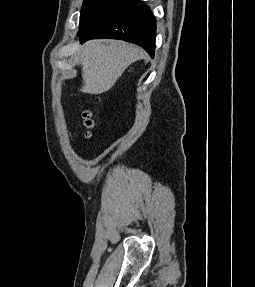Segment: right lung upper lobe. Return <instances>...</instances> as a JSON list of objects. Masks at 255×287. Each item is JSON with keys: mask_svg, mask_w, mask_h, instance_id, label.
I'll return each mask as SVG.
<instances>
[{"mask_svg": "<svg viewBox=\"0 0 255 287\" xmlns=\"http://www.w3.org/2000/svg\"><path fill=\"white\" fill-rule=\"evenodd\" d=\"M133 2H137V0H132Z\"/></svg>", "mask_w": 255, "mask_h": 287, "instance_id": "obj_1", "label": "right lung upper lobe"}]
</instances>
